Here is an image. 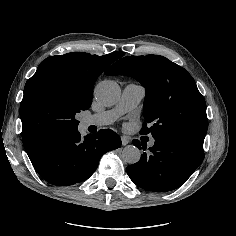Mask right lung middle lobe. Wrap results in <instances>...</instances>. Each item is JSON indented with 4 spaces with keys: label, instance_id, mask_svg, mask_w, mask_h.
Instances as JSON below:
<instances>
[{
    "label": "right lung middle lobe",
    "instance_id": "right-lung-middle-lobe-1",
    "mask_svg": "<svg viewBox=\"0 0 236 236\" xmlns=\"http://www.w3.org/2000/svg\"><path fill=\"white\" fill-rule=\"evenodd\" d=\"M92 93H81L71 83L43 77L26 83L20 105L24 147L34 149L78 130L75 118L91 106Z\"/></svg>",
    "mask_w": 236,
    "mask_h": 236
}]
</instances>
